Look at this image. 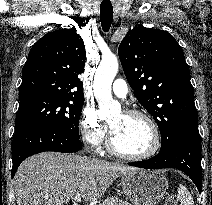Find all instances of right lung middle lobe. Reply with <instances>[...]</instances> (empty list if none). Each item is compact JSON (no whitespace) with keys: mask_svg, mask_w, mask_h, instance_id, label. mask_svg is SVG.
<instances>
[{"mask_svg":"<svg viewBox=\"0 0 212 205\" xmlns=\"http://www.w3.org/2000/svg\"><path fill=\"white\" fill-rule=\"evenodd\" d=\"M84 100L54 96H32L20 99L15 132L46 126L79 138L78 123Z\"/></svg>","mask_w":212,"mask_h":205,"instance_id":"right-lung-middle-lobe-1","label":"right lung middle lobe"}]
</instances>
